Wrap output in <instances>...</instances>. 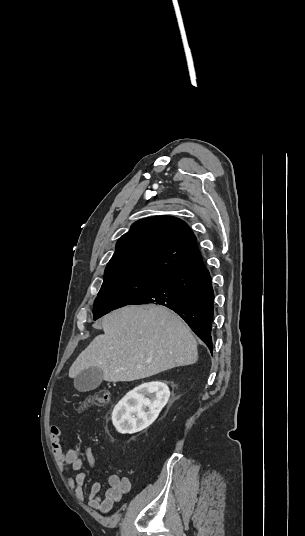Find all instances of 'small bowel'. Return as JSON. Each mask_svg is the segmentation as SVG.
I'll list each match as a JSON object with an SVG mask.
<instances>
[{"label": "small bowel", "mask_w": 305, "mask_h": 536, "mask_svg": "<svg viewBox=\"0 0 305 536\" xmlns=\"http://www.w3.org/2000/svg\"><path fill=\"white\" fill-rule=\"evenodd\" d=\"M50 442L52 453L55 457L57 465L61 472L69 473L67 485L71 490H74L77 497L83 496V486L85 484L87 473L81 471L82 467L87 463L92 469L96 466V459L90 449L87 450L85 456H79L73 448L63 451L60 427L53 423L49 427ZM75 473V475H71ZM131 490V481L127 477L111 475L108 478V489L101 495V484L95 482L92 484L89 492V504L92 508L108 513L119 503L124 495Z\"/></svg>", "instance_id": "c3829d8e"}]
</instances>
